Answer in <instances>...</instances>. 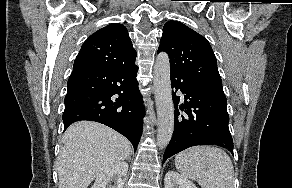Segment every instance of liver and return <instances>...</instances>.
I'll return each mask as SVG.
<instances>
[{
  "instance_id": "liver-1",
  "label": "liver",
  "mask_w": 292,
  "mask_h": 188,
  "mask_svg": "<svg viewBox=\"0 0 292 188\" xmlns=\"http://www.w3.org/2000/svg\"><path fill=\"white\" fill-rule=\"evenodd\" d=\"M62 142L57 159L59 188H88L100 173L131 154L124 136L92 121L70 125Z\"/></svg>"
}]
</instances>
